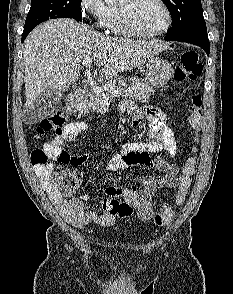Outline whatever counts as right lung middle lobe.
Wrapping results in <instances>:
<instances>
[{"label":"right lung middle lobe","instance_id":"obj_1","mask_svg":"<svg viewBox=\"0 0 233 294\" xmlns=\"http://www.w3.org/2000/svg\"><path fill=\"white\" fill-rule=\"evenodd\" d=\"M82 0H31V8L25 21L26 30L55 18H73L82 21Z\"/></svg>","mask_w":233,"mask_h":294}]
</instances>
